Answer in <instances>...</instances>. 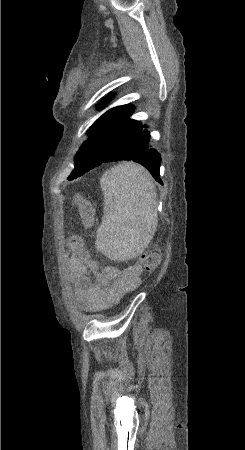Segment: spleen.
I'll return each mask as SVG.
<instances>
[{
	"label": "spleen",
	"instance_id": "1",
	"mask_svg": "<svg viewBox=\"0 0 245 450\" xmlns=\"http://www.w3.org/2000/svg\"><path fill=\"white\" fill-rule=\"evenodd\" d=\"M104 209L96 249L112 260L137 257L157 226L156 194L149 172L133 162L106 171L100 180Z\"/></svg>",
	"mask_w": 245,
	"mask_h": 450
}]
</instances>
